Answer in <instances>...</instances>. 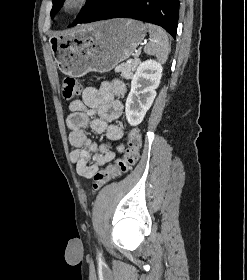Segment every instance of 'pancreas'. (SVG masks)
<instances>
[{
  "mask_svg": "<svg viewBox=\"0 0 247 280\" xmlns=\"http://www.w3.org/2000/svg\"><path fill=\"white\" fill-rule=\"evenodd\" d=\"M140 63L139 59H132L127 61L126 63H123L115 68V71L120 73L121 76L125 79H132L133 73L136 70V67Z\"/></svg>",
  "mask_w": 247,
  "mask_h": 280,
  "instance_id": "1",
  "label": "pancreas"
}]
</instances>
